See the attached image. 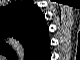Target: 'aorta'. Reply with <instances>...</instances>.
<instances>
[{
    "label": "aorta",
    "mask_w": 80,
    "mask_h": 60,
    "mask_svg": "<svg viewBox=\"0 0 80 60\" xmlns=\"http://www.w3.org/2000/svg\"><path fill=\"white\" fill-rule=\"evenodd\" d=\"M7 42L12 46V48L19 54L21 52H23V47L21 45V43L13 38H10L7 40Z\"/></svg>",
    "instance_id": "aorta-1"
}]
</instances>
